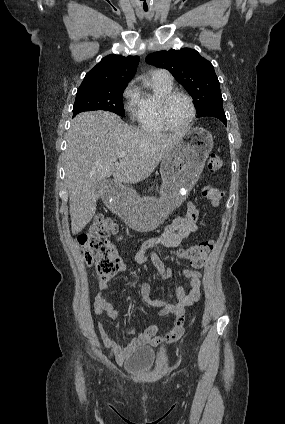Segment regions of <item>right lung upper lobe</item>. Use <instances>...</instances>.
Returning a JSON list of instances; mask_svg holds the SVG:
<instances>
[{"instance_id":"1","label":"right lung upper lobe","mask_w":285,"mask_h":424,"mask_svg":"<svg viewBox=\"0 0 285 424\" xmlns=\"http://www.w3.org/2000/svg\"><path fill=\"white\" fill-rule=\"evenodd\" d=\"M139 56L108 55L84 77L80 87L128 84L134 77Z\"/></svg>"}]
</instances>
